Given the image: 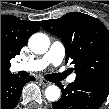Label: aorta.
<instances>
[{
  "instance_id": "762f6f07",
  "label": "aorta",
  "mask_w": 109,
  "mask_h": 109,
  "mask_svg": "<svg viewBox=\"0 0 109 109\" xmlns=\"http://www.w3.org/2000/svg\"><path fill=\"white\" fill-rule=\"evenodd\" d=\"M28 45L35 54H44L50 47V40L44 33H35L29 38ZM60 94V88L56 85H50L45 90V97L51 102L58 101Z\"/></svg>"
}]
</instances>
